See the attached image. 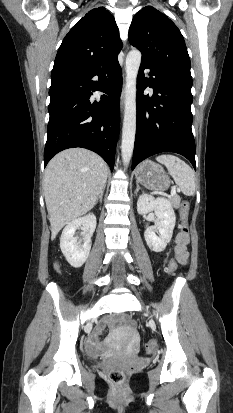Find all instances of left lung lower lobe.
Segmentation results:
<instances>
[{"label":"left lung lower lobe","instance_id":"obj_1","mask_svg":"<svg viewBox=\"0 0 233 413\" xmlns=\"http://www.w3.org/2000/svg\"><path fill=\"white\" fill-rule=\"evenodd\" d=\"M150 79H144V69ZM146 84L153 95H143ZM192 85L142 61L137 78V128L132 170L138 163L160 152L186 157L196 170L195 141L192 134Z\"/></svg>","mask_w":233,"mask_h":413}]
</instances>
